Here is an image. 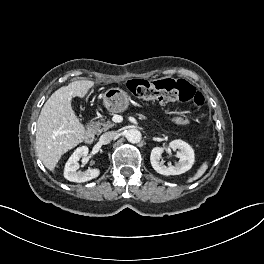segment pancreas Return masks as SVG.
<instances>
[{"label": "pancreas", "mask_w": 264, "mask_h": 264, "mask_svg": "<svg viewBox=\"0 0 264 264\" xmlns=\"http://www.w3.org/2000/svg\"><path fill=\"white\" fill-rule=\"evenodd\" d=\"M114 126H115V124L112 121H110V120H107V121L101 120V121H95V122L93 121L89 125L90 129L95 134H100L103 131H107V130H109L110 128H112Z\"/></svg>", "instance_id": "obj_1"}]
</instances>
